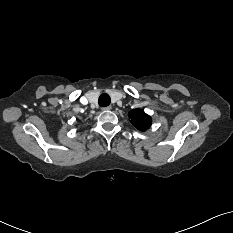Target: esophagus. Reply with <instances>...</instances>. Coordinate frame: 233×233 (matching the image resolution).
Masks as SVG:
<instances>
[{
  "label": "esophagus",
  "instance_id": "34e87169",
  "mask_svg": "<svg viewBox=\"0 0 233 233\" xmlns=\"http://www.w3.org/2000/svg\"><path fill=\"white\" fill-rule=\"evenodd\" d=\"M102 110H103V111H109V110H111V106L103 107Z\"/></svg>",
  "mask_w": 233,
  "mask_h": 233
}]
</instances>
